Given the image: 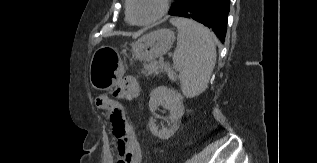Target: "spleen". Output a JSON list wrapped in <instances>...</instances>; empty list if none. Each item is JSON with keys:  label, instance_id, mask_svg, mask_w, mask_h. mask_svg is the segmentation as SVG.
Here are the masks:
<instances>
[{"label": "spleen", "instance_id": "obj_1", "mask_svg": "<svg viewBox=\"0 0 317 163\" xmlns=\"http://www.w3.org/2000/svg\"><path fill=\"white\" fill-rule=\"evenodd\" d=\"M170 22L178 29L174 68L179 71L183 94L192 98L206 90L216 63L213 34L190 19L174 17Z\"/></svg>", "mask_w": 317, "mask_h": 163}]
</instances>
